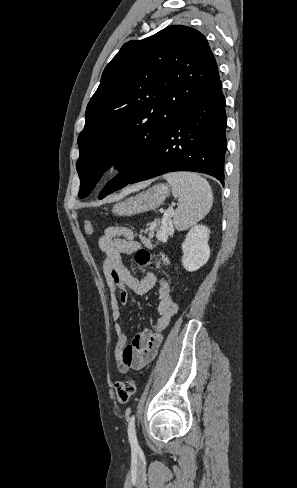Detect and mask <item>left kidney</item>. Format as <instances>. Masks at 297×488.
<instances>
[{
    "label": "left kidney",
    "instance_id": "left-kidney-1",
    "mask_svg": "<svg viewBox=\"0 0 297 488\" xmlns=\"http://www.w3.org/2000/svg\"><path fill=\"white\" fill-rule=\"evenodd\" d=\"M209 234L208 227L202 224L192 226L187 233L182 244V265L187 271H196L207 263L210 257Z\"/></svg>",
    "mask_w": 297,
    "mask_h": 488
}]
</instances>
